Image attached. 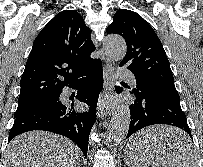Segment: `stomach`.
Segmentation results:
<instances>
[{"mask_svg":"<svg viewBox=\"0 0 203 167\" xmlns=\"http://www.w3.org/2000/svg\"><path fill=\"white\" fill-rule=\"evenodd\" d=\"M152 151H153V153H154L155 155H157V151H156V150L153 149ZM125 160H130V156H129L128 149H127V151H126Z\"/></svg>","mask_w":203,"mask_h":167,"instance_id":"0dacf381","label":"stomach"}]
</instances>
